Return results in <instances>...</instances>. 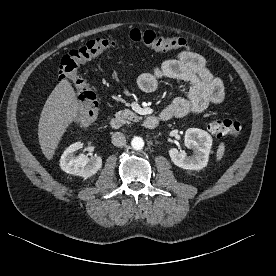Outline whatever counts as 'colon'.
Segmentation results:
<instances>
[{"mask_svg":"<svg viewBox=\"0 0 276 276\" xmlns=\"http://www.w3.org/2000/svg\"><path fill=\"white\" fill-rule=\"evenodd\" d=\"M127 41L161 52L188 48V44L183 38L162 36L151 30L132 29L128 33ZM119 46L120 42L117 40L97 37L62 57L59 66V77L68 80L75 93L77 102L75 122L78 125L87 126L91 124L98 113L97 97L86 80L79 74L80 66ZM207 128L213 136L226 138L238 136L242 126L236 120L217 119L210 121Z\"/></svg>","mask_w":276,"mask_h":276,"instance_id":"1","label":"colon"}]
</instances>
